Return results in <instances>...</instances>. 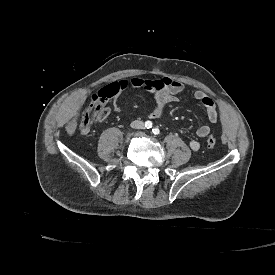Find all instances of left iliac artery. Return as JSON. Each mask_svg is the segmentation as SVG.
Listing matches in <instances>:
<instances>
[{"mask_svg":"<svg viewBox=\"0 0 275 275\" xmlns=\"http://www.w3.org/2000/svg\"><path fill=\"white\" fill-rule=\"evenodd\" d=\"M153 134L158 135L160 133V130L158 128L152 129Z\"/></svg>","mask_w":275,"mask_h":275,"instance_id":"left-iliac-artery-1","label":"left iliac artery"}]
</instances>
